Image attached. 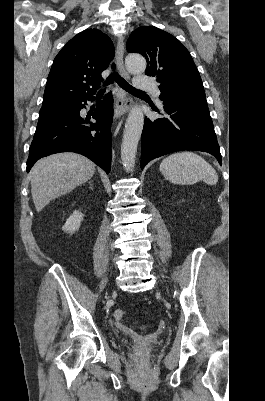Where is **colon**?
<instances>
[{"instance_id":"obj_1","label":"colon","mask_w":265,"mask_h":401,"mask_svg":"<svg viewBox=\"0 0 265 401\" xmlns=\"http://www.w3.org/2000/svg\"><path fill=\"white\" fill-rule=\"evenodd\" d=\"M114 318H115L116 321L122 320V319L124 318V312H123V310L117 309V310L114 312Z\"/></svg>"}]
</instances>
